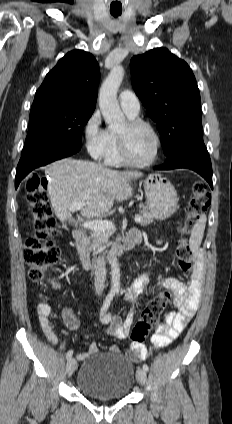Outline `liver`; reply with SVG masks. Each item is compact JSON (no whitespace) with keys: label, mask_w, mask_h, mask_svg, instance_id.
<instances>
[{"label":"liver","mask_w":232,"mask_h":424,"mask_svg":"<svg viewBox=\"0 0 232 424\" xmlns=\"http://www.w3.org/2000/svg\"><path fill=\"white\" fill-rule=\"evenodd\" d=\"M50 177L48 194L51 207L62 222L71 218L70 205L85 202L80 209L83 217L106 214L115 200L132 197L129 182L143 176L138 171L119 172L92 162L65 158L47 166Z\"/></svg>","instance_id":"obj_1"}]
</instances>
